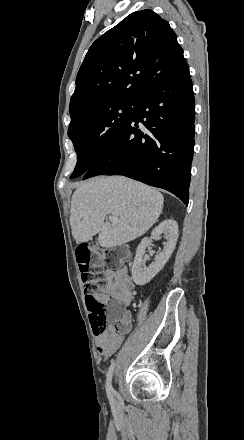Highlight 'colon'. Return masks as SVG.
I'll use <instances>...</instances> for the list:
<instances>
[{"mask_svg": "<svg viewBox=\"0 0 244 440\" xmlns=\"http://www.w3.org/2000/svg\"><path fill=\"white\" fill-rule=\"evenodd\" d=\"M77 258V271L82 272L84 282V302L85 313H90L91 319H106L108 329L116 334L123 333L128 325L130 311L127 306L111 304H98L95 298L97 287L101 284L102 272H114L115 267H122L123 257H128L130 251L128 248H106L103 254L107 257L104 261L99 253L94 257L89 246L75 249ZM95 260V262H91ZM105 262V263H104ZM89 273V275H87ZM93 274V275H92Z\"/></svg>", "mask_w": 244, "mask_h": 440, "instance_id": "5ec220e1", "label": "colon"}]
</instances>
